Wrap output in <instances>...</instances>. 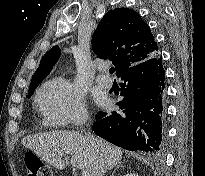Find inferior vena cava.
<instances>
[{"label": "inferior vena cava", "mask_w": 205, "mask_h": 176, "mask_svg": "<svg viewBox=\"0 0 205 176\" xmlns=\"http://www.w3.org/2000/svg\"><path fill=\"white\" fill-rule=\"evenodd\" d=\"M87 141H89L92 145H94V139L93 137L86 136Z\"/></svg>", "instance_id": "obj_1"}]
</instances>
